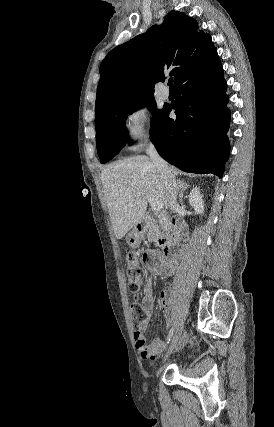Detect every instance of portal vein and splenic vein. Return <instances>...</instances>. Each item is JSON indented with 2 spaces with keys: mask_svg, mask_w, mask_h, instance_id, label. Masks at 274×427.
Returning a JSON list of instances; mask_svg holds the SVG:
<instances>
[{
  "mask_svg": "<svg viewBox=\"0 0 274 427\" xmlns=\"http://www.w3.org/2000/svg\"><path fill=\"white\" fill-rule=\"evenodd\" d=\"M146 200H148L152 210L155 212H161L163 208L162 202H157V200H153L152 196H145Z\"/></svg>",
  "mask_w": 274,
  "mask_h": 427,
  "instance_id": "portal-vein-and-splenic-vein-1",
  "label": "portal vein and splenic vein"
}]
</instances>
